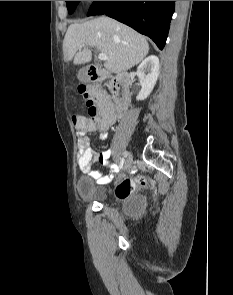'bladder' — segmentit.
Listing matches in <instances>:
<instances>
[{
    "label": "bladder",
    "instance_id": "1",
    "mask_svg": "<svg viewBox=\"0 0 233 295\" xmlns=\"http://www.w3.org/2000/svg\"><path fill=\"white\" fill-rule=\"evenodd\" d=\"M76 190L79 197L86 201H97L104 197V189L89 177L80 178ZM145 204L146 200L143 196H135L129 202L130 208L135 212L141 211Z\"/></svg>",
    "mask_w": 233,
    "mask_h": 295
}]
</instances>
